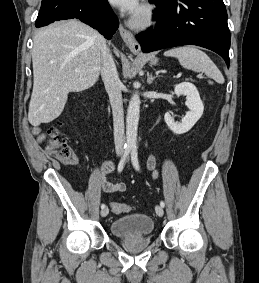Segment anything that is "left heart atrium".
I'll use <instances>...</instances> for the list:
<instances>
[{
	"mask_svg": "<svg viewBox=\"0 0 259 283\" xmlns=\"http://www.w3.org/2000/svg\"><path fill=\"white\" fill-rule=\"evenodd\" d=\"M110 2L126 13L134 15L139 12V0H110Z\"/></svg>",
	"mask_w": 259,
	"mask_h": 283,
	"instance_id": "left-heart-atrium-1",
	"label": "left heart atrium"
}]
</instances>
